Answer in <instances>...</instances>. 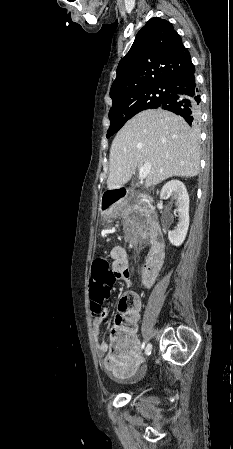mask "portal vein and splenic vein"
Returning a JSON list of instances; mask_svg holds the SVG:
<instances>
[{"label": "portal vein and splenic vein", "mask_w": 233, "mask_h": 449, "mask_svg": "<svg viewBox=\"0 0 233 449\" xmlns=\"http://www.w3.org/2000/svg\"><path fill=\"white\" fill-rule=\"evenodd\" d=\"M151 170V164L150 163H141L139 165V178L140 180H143L147 177Z\"/></svg>", "instance_id": "18ae733b"}]
</instances>
